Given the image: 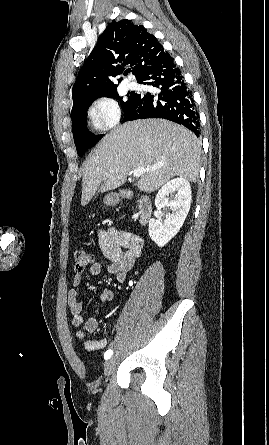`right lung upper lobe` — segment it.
<instances>
[{
  "instance_id": "obj_1",
  "label": "right lung upper lobe",
  "mask_w": 269,
  "mask_h": 445,
  "mask_svg": "<svg viewBox=\"0 0 269 445\" xmlns=\"http://www.w3.org/2000/svg\"><path fill=\"white\" fill-rule=\"evenodd\" d=\"M168 55L155 36L142 25H135L127 19L110 23L77 76L72 90L73 107L117 90L110 77L125 74L127 66L139 79Z\"/></svg>"
}]
</instances>
